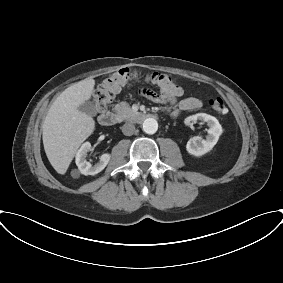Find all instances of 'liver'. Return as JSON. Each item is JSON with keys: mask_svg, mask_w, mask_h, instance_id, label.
I'll use <instances>...</instances> for the list:
<instances>
[{"mask_svg": "<svg viewBox=\"0 0 283 283\" xmlns=\"http://www.w3.org/2000/svg\"><path fill=\"white\" fill-rule=\"evenodd\" d=\"M95 80L86 78L54 101L43 123V145L52 167L65 174L80 145L93 133L95 121L78 107L91 98Z\"/></svg>", "mask_w": 283, "mask_h": 283, "instance_id": "6515ba94", "label": "liver"}]
</instances>
